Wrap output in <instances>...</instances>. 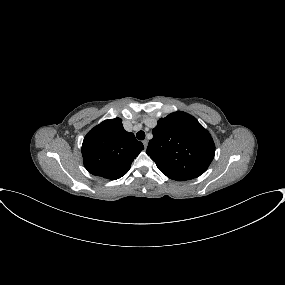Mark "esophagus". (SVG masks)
I'll return each instance as SVG.
<instances>
[{
	"label": "esophagus",
	"instance_id": "esophagus-1",
	"mask_svg": "<svg viewBox=\"0 0 285 285\" xmlns=\"http://www.w3.org/2000/svg\"><path fill=\"white\" fill-rule=\"evenodd\" d=\"M143 145H144V148L146 149L147 148V146H148V141L147 140H143Z\"/></svg>",
	"mask_w": 285,
	"mask_h": 285
}]
</instances>
